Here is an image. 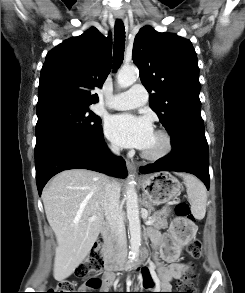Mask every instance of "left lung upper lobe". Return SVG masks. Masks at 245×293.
Segmentation results:
<instances>
[{"instance_id": "1", "label": "left lung upper lobe", "mask_w": 245, "mask_h": 293, "mask_svg": "<svg viewBox=\"0 0 245 293\" xmlns=\"http://www.w3.org/2000/svg\"><path fill=\"white\" fill-rule=\"evenodd\" d=\"M132 58L148 92L151 109L170 134L204 131L199 99L197 55L192 43L176 34L145 26L137 33Z\"/></svg>"}]
</instances>
